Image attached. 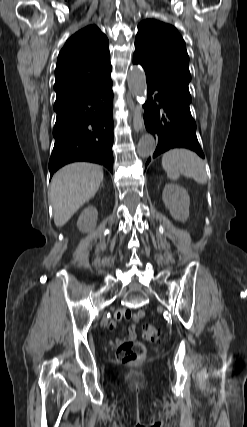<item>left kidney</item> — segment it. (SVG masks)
<instances>
[{
	"label": "left kidney",
	"mask_w": 247,
	"mask_h": 427,
	"mask_svg": "<svg viewBox=\"0 0 247 427\" xmlns=\"http://www.w3.org/2000/svg\"><path fill=\"white\" fill-rule=\"evenodd\" d=\"M162 199L171 216L178 221L185 222L189 217L190 197L181 186L169 183L163 189Z\"/></svg>",
	"instance_id": "1"
}]
</instances>
